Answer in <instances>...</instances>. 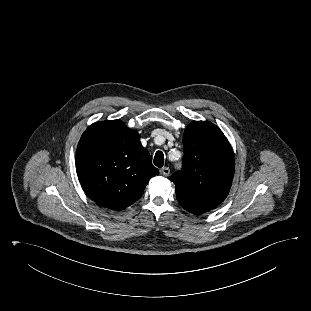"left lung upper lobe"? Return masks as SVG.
<instances>
[{"label":"left lung upper lobe","instance_id":"5c2ea615","mask_svg":"<svg viewBox=\"0 0 311 311\" xmlns=\"http://www.w3.org/2000/svg\"><path fill=\"white\" fill-rule=\"evenodd\" d=\"M183 168L170 180L192 199L221 204L235 170L234 154L223 132L209 121H193L183 136Z\"/></svg>","mask_w":311,"mask_h":311}]
</instances>
